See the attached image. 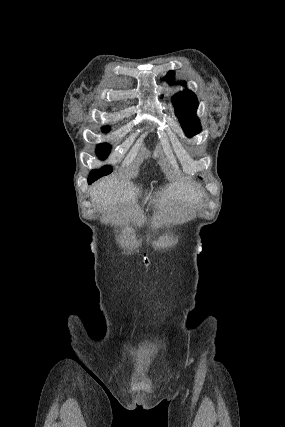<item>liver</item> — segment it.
I'll use <instances>...</instances> for the list:
<instances>
[{
  "instance_id": "6515ba94",
  "label": "liver",
  "mask_w": 285,
  "mask_h": 427,
  "mask_svg": "<svg viewBox=\"0 0 285 427\" xmlns=\"http://www.w3.org/2000/svg\"><path fill=\"white\" fill-rule=\"evenodd\" d=\"M140 194L139 189L127 180L117 179H105L95 184L91 191V200L102 207L122 205L128 206V215L132 214V210L136 201L137 195ZM161 198L153 199L151 202H156L163 206L171 205L174 202L180 200L182 203L187 202L196 204L199 202L202 192L192 186L191 184L184 182H173L168 188L162 192L157 193V197ZM151 193L146 196V200L151 199Z\"/></svg>"
}]
</instances>
